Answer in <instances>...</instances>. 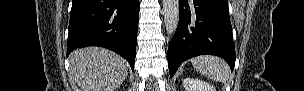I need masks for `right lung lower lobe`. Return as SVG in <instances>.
<instances>
[{"mask_svg": "<svg viewBox=\"0 0 304 91\" xmlns=\"http://www.w3.org/2000/svg\"><path fill=\"white\" fill-rule=\"evenodd\" d=\"M138 20L139 0H73L67 56L76 48L101 46L134 70Z\"/></svg>", "mask_w": 304, "mask_h": 91, "instance_id": "obj_1", "label": "right lung lower lobe"}]
</instances>
